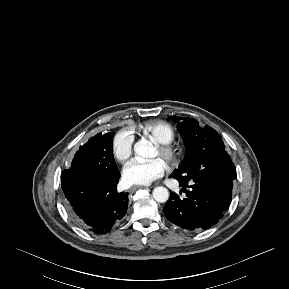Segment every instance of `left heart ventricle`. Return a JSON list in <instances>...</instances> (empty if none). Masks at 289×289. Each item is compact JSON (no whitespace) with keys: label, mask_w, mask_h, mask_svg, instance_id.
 I'll return each mask as SVG.
<instances>
[{"label":"left heart ventricle","mask_w":289,"mask_h":289,"mask_svg":"<svg viewBox=\"0 0 289 289\" xmlns=\"http://www.w3.org/2000/svg\"><path fill=\"white\" fill-rule=\"evenodd\" d=\"M151 157H153V158H159V159H161V160L163 161V158L161 157V155H160L159 151L157 150V148L154 149Z\"/></svg>","instance_id":"left-heart-ventricle-1"}]
</instances>
